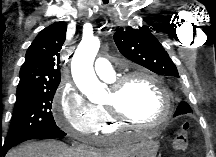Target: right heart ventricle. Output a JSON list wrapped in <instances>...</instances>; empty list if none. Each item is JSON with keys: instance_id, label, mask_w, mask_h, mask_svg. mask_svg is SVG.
<instances>
[{"instance_id": "e07e8e85", "label": "right heart ventricle", "mask_w": 216, "mask_h": 157, "mask_svg": "<svg viewBox=\"0 0 216 157\" xmlns=\"http://www.w3.org/2000/svg\"><path fill=\"white\" fill-rule=\"evenodd\" d=\"M97 110L100 116L98 131L102 134H111L120 129L121 126L111 118L105 106H97Z\"/></svg>"}]
</instances>
